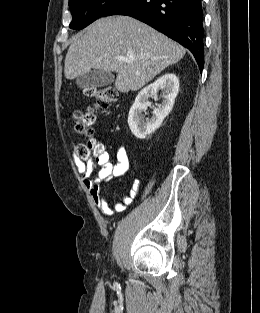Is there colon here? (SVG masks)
<instances>
[{
    "mask_svg": "<svg viewBox=\"0 0 260 313\" xmlns=\"http://www.w3.org/2000/svg\"><path fill=\"white\" fill-rule=\"evenodd\" d=\"M85 94L95 100L92 107L85 110H76L72 114L74 130L76 133L91 137L93 134L92 125L95 121V110L104 109L112 105L118 99V92L114 87H87ZM78 155L87 161H91L94 166L101 165V156L103 147L100 143L93 139H89L85 143H80L77 146Z\"/></svg>",
    "mask_w": 260,
    "mask_h": 313,
    "instance_id": "obj_1",
    "label": "colon"
}]
</instances>
